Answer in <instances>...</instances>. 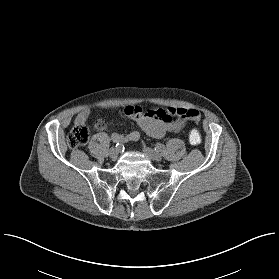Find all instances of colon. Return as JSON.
I'll use <instances>...</instances> for the list:
<instances>
[{"label":"colon","mask_w":279,"mask_h":279,"mask_svg":"<svg viewBox=\"0 0 279 279\" xmlns=\"http://www.w3.org/2000/svg\"><path fill=\"white\" fill-rule=\"evenodd\" d=\"M90 137L89 129L86 125H74L68 135L67 142L71 148H78L85 145ZM189 141L192 145H198L201 142V133L198 129L193 128L189 132Z\"/></svg>","instance_id":"colon-1"}]
</instances>
